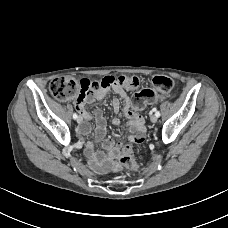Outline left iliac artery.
<instances>
[{
    "label": "left iliac artery",
    "mask_w": 228,
    "mask_h": 228,
    "mask_svg": "<svg viewBox=\"0 0 228 228\" xmlns=\"http://www.w3.org/2000/svg\"><path fill=\"white\" fill-rule=\"evenodd\" d=\"M155 115H156L157 117H160V112H159V111H156Z\"/></svg>",
    "instance_id": "44dca946"
}]
</instances>
